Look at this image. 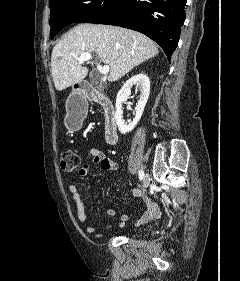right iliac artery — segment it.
<instances>
[{
    "label": "right iliac artery",
    "instance_id": "82829eb1",
    "mask_svg": "<svg viewBox=\"0 0 240 281\" xmlns=\"http://www.w3.org/2000/svg\"><path fill=\"white\" fill-rule=\"evenodd\" d=\"M144 177V172L142 170L139 171V179L142 180Z\"/></svg>",
    "mask_w": 240,
    "mask_h": 281
}]
</instances>
